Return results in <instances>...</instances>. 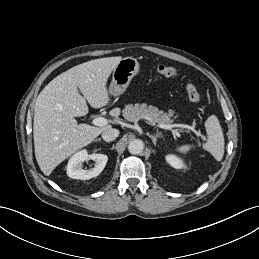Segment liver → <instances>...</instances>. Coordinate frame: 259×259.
Here are the masks:
<instances>
[{
    "label": "liver",
    "instance_id": "6515ba94",
    "mask_svg": "<svg viewBox=\"0 0 259 259\" xmlns=\"http://www.w3.org/2000/svg\"><path fill=\"white\" fill-rule=\"evenodd\" d=\"M121 59L120 56L100 58L74 66L55 77L39 94L33 136L36 160L45 175L111 128L78 125L75 117L89 112L87 102L93 108L109 104L107 80ZM119 114V108L110 111L113 117Z\"/></svg>",
    "mask_w": 259,
    "mask_h": 259
}]
</instances>
